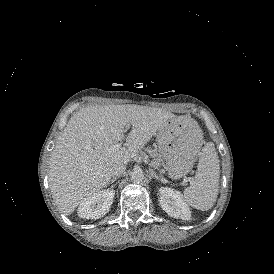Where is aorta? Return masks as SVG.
<instances>
[{"label": "aorta", "mask_w": 274, "mask_h": 274, "mask_svg": "<svg viewBox=\"0 0 274 274\" xmlns=\"http://www.w3.org/2000/svg\"><path fill=\"white\" fill-rule=\"evenodd\" d=\"M131 180H133L134 182H141L143 181L144 179V173L141 169H134L132 172H131Z\"/></svg>", "instance_id": "1"}]
</instances>
